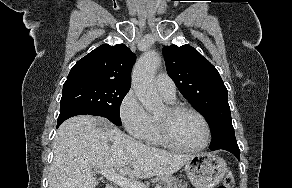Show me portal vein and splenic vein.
I'll list each match as a JSON object with an SVG mask.
<instances>
[{
    "label": "portal vein and splenic vein",
    "mask_w": 292,
    "mask_h": 188,
    "mask_svg": "<svg viewBox=\"0 0 292 188\" xmlns=\"http://www.w3.org/2000/svg\"><path fill=\"white\" fill-rule=\"evenodd\" d=\"M99 173L121 188H147L143 183L130 181L129 179L119 175L116 173L115 169L100 170ZM155 188H161V186L157 185Z\"/></svg>",
    "instance_id": "portal-vein-and-splenic-vein-1"
}]
</instances>
